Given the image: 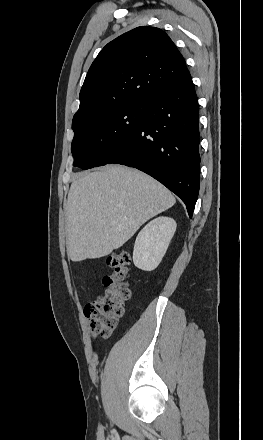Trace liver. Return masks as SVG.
Instances as JSON below:
<instances>
[{
    "mask_svg": "<svg viewBox=\"0 0 263 440\" xmlns=\"http://www.w3.org/2000/svg\"><path fill=\"white\" fill-rule=\"evenodd\" d=\"M174 204L168 189L136 169L110 165L79 174L67 199L69 258L77 262L109 255Z\"/></svg>",
    "mask_w": 263,
    "mask_h": 440,
    "instance_id": "liver-1",
    "label": "liver"
}]
</instances>
